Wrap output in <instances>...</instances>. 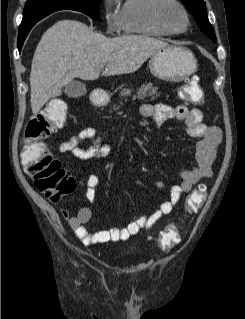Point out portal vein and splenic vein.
<instances>
[{
    "mask_svg": "<svg viewBox=\"0 0 245 319\" xmlns=\"http://www.w3.org/2000/svg\"><path fill=\"white\" fill-rule=\"evenodd\" d=\"M104 68V65H101L98 67L99 70H102Z\"/></svg>",
    "mask_w": 245,
    "mask_h": 319,
    "instance_id": "18ae733b",
    "label": "portal vein and splenic vein"
}]
</instances>
